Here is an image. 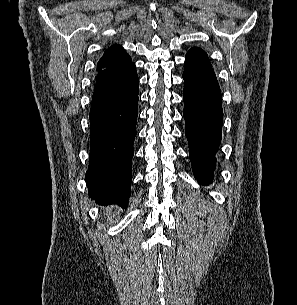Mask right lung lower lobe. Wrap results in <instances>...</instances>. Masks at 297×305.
<instances>
[{
    "instance_id": "obj_1",
    "label": "right lung lower lobe",
    "mask_w": 297,
    "mask_h": 305,
    "mask_svg": "<svg viewBox=\"0 0 297 305\" xmlns=\"http://www.w3.org/2000/svg\"><path fill=\"white\" fill-rule=\"evenodd\" d=\"M139 81L135 64L96 82L90 109L86 183L103 204L127 205L132 182Z\"/></svg>"
}]
</instances>
